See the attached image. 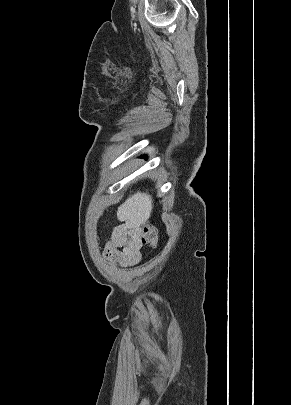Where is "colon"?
I'll list each match as a JSON object with an SVG mask.
<instances>
[{"label": "colon", "instance_id": "5ec220e1", "mask_svg": "<svg viewBox=\"0 0 291 405\" xmlns=\"http://www.w3.org/2000/svg\"><path fill=\"white\" fill-rule=\"evenodd\" d=\"M140 237L143 244L154 248L158 243L157 230L153 225L146 224L140 228Z\"/></svg>", "mask_w": 291, "mask_h": 405}]
</instances>
